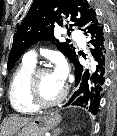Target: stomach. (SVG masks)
Here are the masks:
<instances>
[{
  "mask_svg": "<svg viewBox=\"0 0 117 136\" xmlns=\"http://www.w3.org/2000/svg\"><path fill=\"white\" fill-rule=\"evenodd\" d=\"M59 122V116L43 114L30 121L15 136H43L46 132L51 131Z\"/></svg>",
  "mask_w": 117,
  "mask_h": 136,
  "instance_id": "1",
  "label": "stomach"
}]
</instances>
